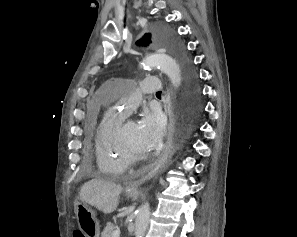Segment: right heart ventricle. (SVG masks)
I'll list each match as a JSON object with an SVG mask.
<instances>
[{"label": "right heart ventricle", "instance_id": "obj_1", "mask_svg": "<svg viewBox=\"0 0 297 237\" xmlns=\"http://www.w3.org/2000/svg\"><path fill=\"white\" fill-rule=\"evenodd\" d=\"M124 115L116 112L105 114L96 131L95 156L98 169L106 176L122 174L130 165L117 141V130Z\"/></svg>", "mask_w": 297, "mask_h": 237}]
</instances>
